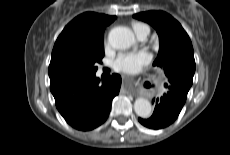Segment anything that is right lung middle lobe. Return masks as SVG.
I'll return each instance as SVG.
<instances>
[{"instance_id":"right-lung-middle-lobe-1","label":"right lung middle lobe","mask_w":230,"mask_h":155,"mask_svg":"<svg viewBox=\"0 0 230 155\" xmlns=\"http://www.w3.org/2000/svg\"><path fill=\"white\" fill-rule=\"evenodd\" d=\"M104 47L87 52H66L54 58L49 65V77H66L81 74H93L96 64L102 62Z\"/></svg>"}]
</instances>
